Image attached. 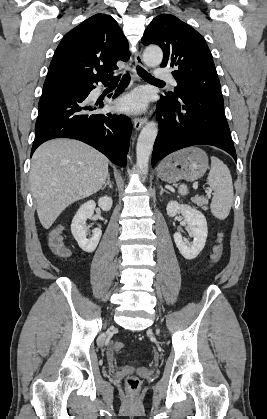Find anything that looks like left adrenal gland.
Listing matches in <instances>:
<instances>
[{
	"label": "left adrenal gland",
	"mask_w": 267,
	"mask_h": 419,
	"mask_svg": "<svg viewBox=\"0 0 267 419\" xmlns=\"http://www.w3.org/2000/svg\"><path fill=\"white\" fill-rule=\"evenodd\" d=\"M160 195H162L164 192L169 193L168 191H166L162 186H160Z\"/></svg>",
	"instance_id": "a2214340"
}]
</instances>
